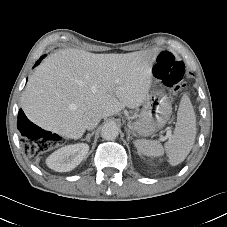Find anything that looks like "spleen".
Wrapping results in <instances>:
<instances>
[{
    "mask_svg": "<svg viewBox=\"0 0 227 227\" xmlns=\"http://www.w3.org/2000/svg\"><path fill=\"white\" fill-rule=\"evenodd\" d=\"M196 137V116L188 95L184 94L177 112V122L173 134L164 147L159 141L140 139L135 146L138 153L150 157H160L166 152L169 163L178 165L190 153Z\"/></svg>",
    "mask_w": 227,
    "mask_h": 227,
    "instance_id": "spleen-1",
    "label": "spleen"
}]
</instances>
